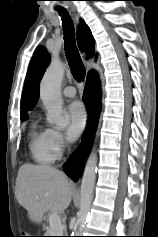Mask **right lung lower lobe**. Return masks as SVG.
<instances>
[{
  "label": "right lung lower lobe",
  "instance_id": "1",
  "mask_svg": "<svg viewBox=\"0 0 158 237\" xmlns=\"http://www.w3.org/2000/svg\"><path fill=\"white\" fill-rule=\"evenodd\" d=\"M101 88L100 80L96 72H91L87 76L83 101L91 112V123L94 126L98 120L101 110ZM90 151V140H82L79 148L71 155V157L64 163L63 169L65 173L73 180L77 179L81 168L79 159L86 156Z\"/></svg>",
  "mask_w": 158,
  "mask_h": 237
}]
</instances>
